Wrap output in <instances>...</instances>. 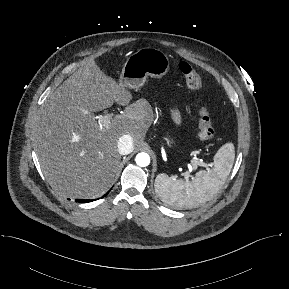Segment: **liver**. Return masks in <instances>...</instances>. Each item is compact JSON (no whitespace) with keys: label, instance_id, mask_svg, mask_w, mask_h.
<instances>
[{"label":"liver","instance_id":"liver-1","mask_svg":"<svg viewBox=\"0 0 289 289\" xmlns=\"http://www.w3.org/2000/svg\"><path fill=\"white\" fill-rule=\"evenodd\" d=\"M131 100L127 87L104 74L93 59L84 61L48 96L35 125L34 145L42 172L54 191L86 199L107 191L121 159L119 138L128 134L138 145L153 121L146 100L133 104ZM114 102L125 106L124 113L105 127L94 113Z\"/></svg>","mask_w":289,"mask_h":289}]
</instances>
